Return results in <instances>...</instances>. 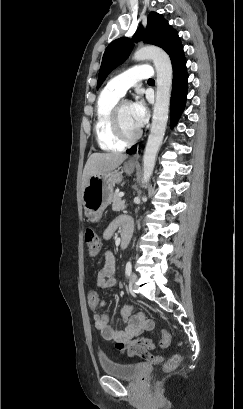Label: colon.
Masks as SVG:
<instances>
[{"label":"colon","instance_id":"colon-1","mask_svg":"<svg viewBox=\"0 0 243 409\" xmlns=\"http://www.w3.org/2000/svg\"><path fill=\"white\" fill-rule=\"evenodd\" d=\"M85 243L88 247V251L92 256H95L99 253L101 250V241L99 236L96 234V232L91 229L87 228L85 230ZM99 302V295L95 291H91L88 294V304L89 306H96ZM161 339H160V346L162 348H167L170 344L171 341V336L168 332L166 331H161L160 333ZM182 361V355L181 354H174L172 355L163 365V371L165 372H170L173 371L178 367L180 362Z\"/></svg>","mask_w":243,"mask_h":409}]
</instances>
